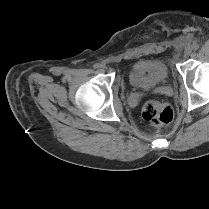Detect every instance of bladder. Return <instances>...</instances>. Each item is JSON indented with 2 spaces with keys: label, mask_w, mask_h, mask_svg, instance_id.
<instances>
[{
  "label": "bladder",
  "mask_w": 209,
  "mask_h": 209,
  "mask_svg": "<svg viewBox=\"0 0 209 209\" xmlns=\"http://www.w3.org/2000/svg\"><path fill=\"white\" fill-rule=\"evenodd\" d=\"M168 68L157 58L136 61L128 72L130 84L140 90H153L168 80Z\"/></svg>",
  "instance_id": "bladder-1"
}]
</instances>
